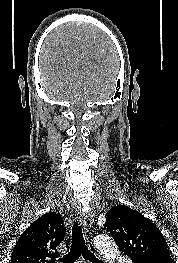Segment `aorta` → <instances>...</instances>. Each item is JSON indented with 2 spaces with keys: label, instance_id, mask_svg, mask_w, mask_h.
I'll use <instances>...</instances> for the list:
<instances>
[{
  "label": "aorta",
  "instance_id": "762f6f07",
  "mask_svg": "<svg viewBox=\"0 0 178 263\" xmlns=\"http://www.w3.org/2000/svg\"><path fill=\"white\" fill-rule=\"evenodd\" d=\"M96 248L101 252L106 263H114L118 255L115 242L107 235H98L94 238Z\"/></svg>",
  "mask_w": 178,
  "mask_h": 263
}]
</instances>
